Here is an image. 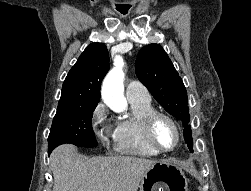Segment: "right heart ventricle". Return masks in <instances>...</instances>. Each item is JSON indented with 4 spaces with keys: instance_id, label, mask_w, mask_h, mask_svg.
<instances>
[{
    "instance_id": "obj_1",
    "label": "right heart ventricle",
    "mask_w": 251,
    "mask_h": 191,
    "mask_svg": "<svg viewBox=\"0 0 251 191\" xmlns=\"http://www.w3.org/2000/svg\"><path fill=\"white\" fill-rule=\"evenodd\" d=\"M133 109V116L120 121L114 131L115 150L119 154L139 157H155L156 152L147 144L143 133V120L146 115L154 111L151 99L138 98L129 100Z\"/></svg>"
}]
</instances>
